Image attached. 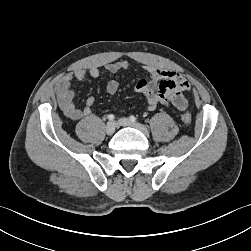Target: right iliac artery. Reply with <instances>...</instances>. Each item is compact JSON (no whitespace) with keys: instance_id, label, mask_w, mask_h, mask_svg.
Here are the masks:
<instances>
[{"instance_id":"82829eb1","label":"right iliac artery","mask_w":251,"mask_h":251,"mask_svg":"<svg viewBox=\"0 0 251 251\" xmlns=\"http://www.w3.org/2000/svg\"><path fill=\"white\" fill-rule=\"evenodd\" d=\"M108 120L113 121L115 119V116L113 114L108 115Z\"/></svg>"}]
</instances>
